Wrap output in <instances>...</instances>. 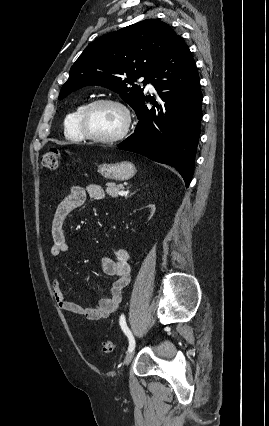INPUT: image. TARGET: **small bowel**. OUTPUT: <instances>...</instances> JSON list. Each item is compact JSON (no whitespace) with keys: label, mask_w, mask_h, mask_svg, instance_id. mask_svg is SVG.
<instances>
[{"label":"small bowel","mask_w":269,"mask_h":426,"mask_svg":"<svg viewBox=\"0 0 269 426\" xmlns=\"http://www.w3.org/2000/svg\"><path fill=\"white\" fill-rule=\"evenodd\" d=\"M104 196V189L100 185L73 186L71 188L70 193L58 205L52 222L53 244L50 254L53 258H58L69 250L64 226L70 215L84 203L87 197L101 200ZM129 259V252L126 249H117L113 257L102 258L103 273L113 278V282L110 296L101 298L94 306H84L67 299L61 281L56 277L52 278L51 283L58 308L64 313L89 320H102L115 313L121 305L123 290L130 281Z\"/></svg>","instance_id":"1"}]
</instances>
